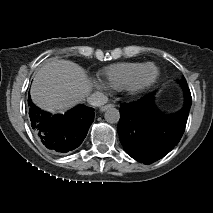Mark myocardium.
Segmentation results:
<instances>
[{
  "mask_svg": "<svg viewBox=\"0 0 213 213\" xmlns=\"http://www.w3.org/2000/svg\"><path fill=\"white\" fill-rule=\"evenodd\" d=\"M148 69H152V77L142 82V76ZM158 77V68L153 63H145V65L124 85L122 90L128 97H138L151 88L156 83Z\"/></svg>",
  "mask_w": 213,
  "mask_h": 213,
  "instance_id": "obj_1",
  "label": "myocardium"
}]
</instances>
